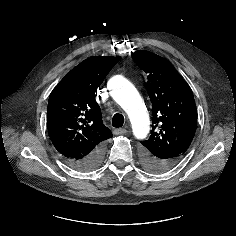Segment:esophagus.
<instances>
[{
	"instance_id": "34e87169",
	"label": "esophagus",
	"mask_w": 236,
	"mask_h": 236,
	"mask_svg": "<svg viewBox=\"0 0 236 236\" xmlns=\"http://www.w3.org/2000/svg\"><path fill=\"white\" fill-rule=\"evenodd\" d=\"M127 132V130L125 128H117V129H114L113 133L115 135H122V134H125Z\"/></svg>"
}]
</instances>
